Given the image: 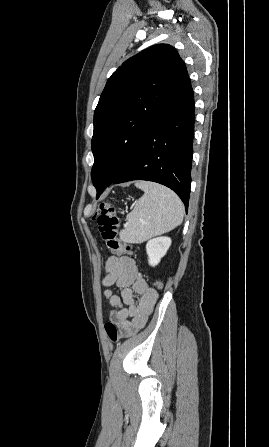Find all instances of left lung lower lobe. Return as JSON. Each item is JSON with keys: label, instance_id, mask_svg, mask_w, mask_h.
<instances>
[{"label": "left lung lower lobe", "instance_id": "left-lung-lower-lobe-1", "mask_svg": "<svg viewBox=\"0 0 269 447\" xmlns=\"http://www.w3.org/2000/svg\"><path fill=\"white\" fill-rule=\"evenodd\" d=\"M194 123V95L184 66L162 116L147 131L135 155L112 183L147 180L163 184L178 194L187 211ZM107 186L97 189V197Z\"/></svg>", "mask_w": 269, "mask_h": 447}]
</instances>
